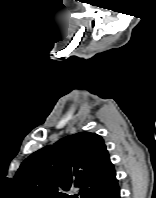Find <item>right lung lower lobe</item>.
<instances>
[{
    "instance_id": "obj_1",
    "label": "right lung lower lobe",
    "mask_w": 156,
    "mask_h": 198,
    "mask_svg": "<svg viewBox=\"0 0 156 198\" xmlns=\"http://www.w3.org/2000/svg\"><path fill=\"white\" fill-rule=\"evenodd\" d=\"M104 198H120V190L117 186L114 188L109 194H107Z\"/></svg>"
}]
</instances>
